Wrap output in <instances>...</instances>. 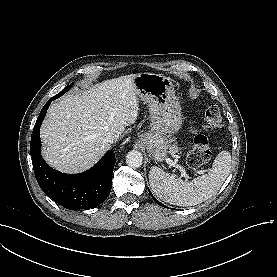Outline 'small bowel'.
Segmentation results:
<instances>
[{"mask_svg": "<svg viewBox=\"0 0 277 277\" xmlns=\"http://www.w3.org/2000/svg\"><path fill=\"white\" fill-rule=\"evenodd\" d=\"M191 133L196 134L198 133V129L196 127L191 128Z\"/></svg>", "mask_w": 277, "mask_h": 277, "instance_id": "obj_1", "label": "small bowel"}]
</instances>
